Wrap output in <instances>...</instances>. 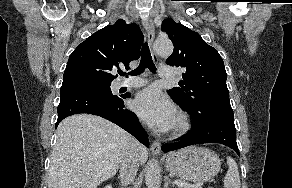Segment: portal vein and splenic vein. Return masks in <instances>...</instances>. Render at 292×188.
<instances>
[{"mask_svg":"<svg viewBox=\"0 0 292 188\" xmlns=\"http://www.w3.org/2000/svg\"><path fill=\"white\" fill-rule=\"evenodd\" d=\"M174 184L181 187V188H190L189 185H187L186 183L180 181V180H175ZM202 184H197V185H193V188H200Z\"/></svg>","mask_w":292,"mask_h":188,"instance_id":"obj_1","label":"portal vein and splenic vein"}]
</instances>
